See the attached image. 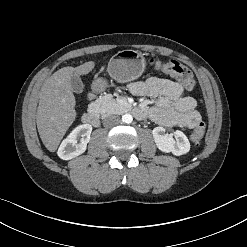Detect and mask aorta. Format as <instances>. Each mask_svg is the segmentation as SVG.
Segmentation results:
<instances>
[{
    "mask_svg": "<svg viewBox=\"0 0 247 247\" xmlns=\"http://www.w3.org/2000/svg\"><path fill=\"white\" fill-rule=\"evenodd\" d=\"M132 121H133L132 115H130V114H124L122 116V122L123 123L130 124V123H132Z\"/></svg>",
    "mask_w": 247,
    "mask_h": 247,
    "instance_id": "obj_1",
    "label": "aorta"
}]
</instances>
